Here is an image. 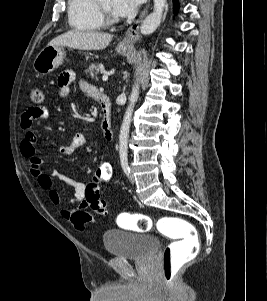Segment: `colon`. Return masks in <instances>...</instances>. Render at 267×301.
Returning a JSON list of instances; mask_svg holds the SVG:
<instances>
[{"label":"colon","mask_w":267,"mask_h":301,"mask_svg":"<svg viewBox=\"0 0 267 301\" xmlns=\"http://www.w3.org/2000/svg\"><path fill=\"white\" fill-rule=\"evenodd\" d=\"M31 101L41 104L44 100L43 91L34 87L30 91ZM113 175L112 165L108 162L98 166L91 182L85 187V201L98 214H105L106 202L101 197L100 185L110 182ZM118 222L125 228L137 232H148L156 229L173 241L168 244L162 255L163 278L172 282L177 272L186 263L191 261L199 249V241L195 227L188 221L179 217H162L153 219L142 213H122Z\"/></svg>","instance_id":"colon-1"}]
</instances>
